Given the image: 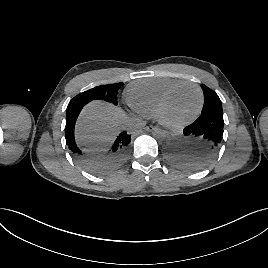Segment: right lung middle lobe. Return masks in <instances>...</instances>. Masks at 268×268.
<instances>
[{"instance_id":"obj_1","label":"right lung middle lobe","mask_w":268,"mask_h":268,"mask_svg":"<svg viewBox=\"0 0 268 268\" xmlns=\"http://www.w3.org/2000/svg\"><path fill=\"white\" fill-rule=\"evenodd\" d=\"M122 83L101 85L89 89L79 95L75 96L69 104H74L78 102H90L92 100H104L114 105H117V92L121 87Z\"/></svg>"}]
</instances>
